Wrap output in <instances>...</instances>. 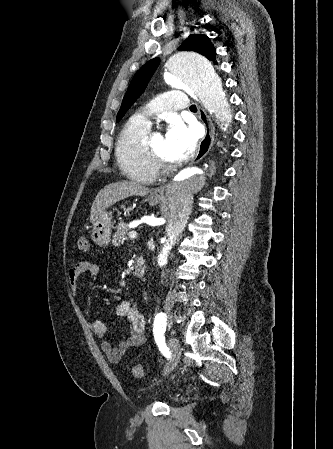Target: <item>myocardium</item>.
Instances as JSON below:
<instances>
[{"label":"myocardium","instance_id":"f54148a6","mask_svg":"<svg viewBox=\"0 0 333 449\" xmlns=\"http://www.w3.org/2000/svg\"><path fill=\"white\" fill-rule=\"evenodd\" d=\"M145 148L147 151V154L151 161L153 162L154 166L157 168L158 171L166 169L170 166V163L168 160L164 159L163 157L159 156L149 145L148 141H145Z\"/></svg>","mask_w":333,"mask_h":449}]
</instances>
